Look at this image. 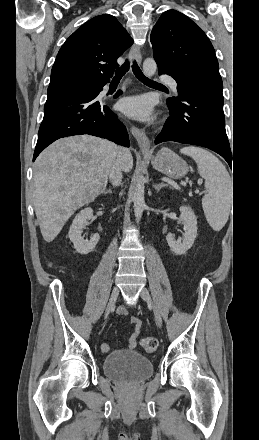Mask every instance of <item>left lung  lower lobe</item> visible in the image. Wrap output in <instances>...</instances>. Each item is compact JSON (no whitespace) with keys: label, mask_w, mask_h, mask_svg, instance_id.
<instances>
[{"label":"left lung lower lobe","mask_w":259,"mask_h":440,"mask_svg":"<svg viewBox=\"0 0 259 440\" xmlns=\"http://www.w3.org/2000/svg\"><path fill=\"white\" fill-rule=\"evenodd\" d=\"M158 69L159 74L170 75L162 65H158ZM177 89L179 103L167 100L170 117L156 136L155 144L174 141L203 146L220 154L231 166L222 89L203 83Z\"/></svg>","instance_id":"obj_1"}]
</instances>
